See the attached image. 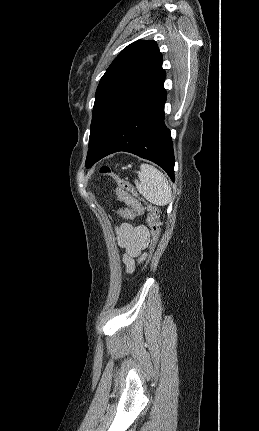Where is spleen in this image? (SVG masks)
<instances>
[{"label": "spleen", "instance_id": "obj_1", "mask_svg": "<svg viewBox=\"0 0 259 431\" xmlns=\"http://www.w3.org/2000/svg\"><path fill=\"white\" fill-rule=\"evenodd\" d=\"M139 180H135L137 190L146 200L158 205L165 206L171 200V187L165 175L156 167L143 163L140 166Z\"/></svg>", "mask_w": 259, "mask_h": 431}]
</instances>
